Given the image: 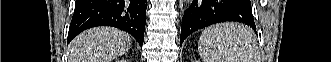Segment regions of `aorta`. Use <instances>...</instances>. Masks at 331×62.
I'll use <instances>...</instances> for the list:
<instances>
[{
  "instance_id": "obj_1",
  "label": "aorta",
  "mask_w": 331,
  "mask_h": 62,
  "mask_svg": "<svg viewBox=\"0 0 331 62\" xmlns=\"http://www.w3.org/2000/svg\"><path fill=\"white\" fill-rule=\"evenodd\" d=\"M184 2L188 5H190L192 3V0H184Z\"/></svg>"
}]
</instances>
